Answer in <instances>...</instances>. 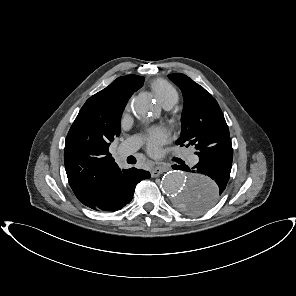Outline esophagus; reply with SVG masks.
Instances as JSON below:
<instances>
[{
  "mask_svg": "<svg viewBox=\"0 0 296 296\" xmlns=\"http://www.w3.org/2000/svg\"><path fill=\"white\" fill-rule=\"evenodd\" d=\"M168 167L167 166H164V165H156L154 166L151 170H150V173H151V176L152 177H157L159 176L160 174L168 171Z\"/></svg>",
  "mask_w": 296,
  "mask_h": 296,
  "instance_id": "obj_1",
  "label": "esophagus"
}]
</instances>
